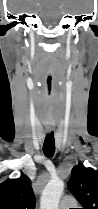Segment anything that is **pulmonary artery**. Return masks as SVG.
I'll return each mask as SVG.
<instances>
[{"label": "pulmonary artery", "mask_w": 98, "mask_h": 209, "mask_svg": "<svg viewBox=\"0 0 98 209\" xmlns=\"http://www.w3.org/2000/svg\"><path fill=\"white\" fill-rule=\"evenodd\" d=\"M75 204V199L69 196L64 197L60 202L59 209H71Z\"/></svg>", "instance_id": "e3ab8cb5"}]
</instances>
